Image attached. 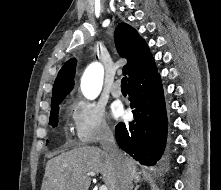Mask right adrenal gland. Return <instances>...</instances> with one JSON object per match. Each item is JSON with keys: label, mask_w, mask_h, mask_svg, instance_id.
I'll list each match as a JSON object with an SVG mask.
<instances>
[{"label": "right adrenal gland", "mask_w": 221, "mask_h": 190, "mask_svg": "<svg viewBox=\"0 0 221 190\" xmlns=\"http://www.w3.org/2000/svg\"><path fill=\"white\" fill-rule=\"evenodd\" d=\"M139 187H140V186H139V185H137V186L134 188V190H138V189H139Z\"/></svg>", "instance_id": "2a0ac1e0"}]
</instances>
